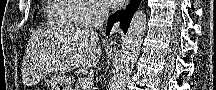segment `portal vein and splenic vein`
<instances>
[{"label":"portal vein and splenic vein","mask_w":216,"mask_h":90,"mask_svg":"<svg viewBox=\"0 0 216 90\" xmlns=\"http://www.w3.org/2000/svg\"><path fill=\"white\" fill-rule=\"evenodd\" d=\"M92 84V78H83L81 90H88V88H91Z\"/></svg>","instance_id":"portal-vein-and-splenic-vein-1"}]
</instances>
